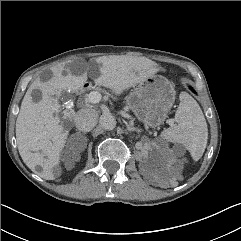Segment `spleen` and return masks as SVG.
<instances>
[{"label": "spleen", "instance_id": "obj_1", "mask_svg": "<svg viewBox=\"0 0 241 241\" xmlns=\"http://www.w3.org/2000/svg\"><path fill=\"white\" fill-rule=\"evenodd\" d=\"M179 98L180 104L175 114L177 124L164 130L160 136L166 141L183 144L197 161L207 145V123L194 98L186 92L180 93Z\"/></svg>", "mask_w": 241, "mask_h": 241}]
</instances>
